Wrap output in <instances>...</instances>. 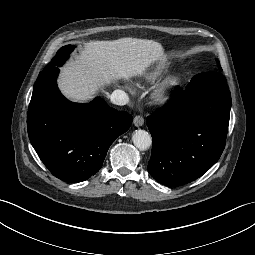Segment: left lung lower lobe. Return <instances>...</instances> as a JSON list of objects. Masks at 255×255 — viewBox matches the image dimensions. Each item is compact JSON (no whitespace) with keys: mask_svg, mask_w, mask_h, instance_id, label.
<instances>
[{"mask_svg":"<svg viewBox=\"0 0 255 255\" xmlns=\"http://www.w3.org/2000/svg\"><path fill=\"white\" fill-rule=\"evenodd\" d=\"M230 108L231 94L221 73L195 75L186 91L147 117L153 142L150 175L175 187L207 172L224 150Z\"/></svg>","mask_w":255,"mask_h":255,"instance_id":"left-lung-lower-lobe-1","label":"left lung lower lobe"}]
</instances>
